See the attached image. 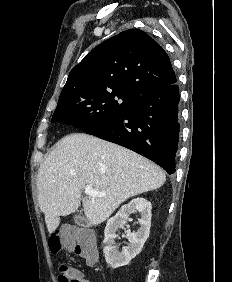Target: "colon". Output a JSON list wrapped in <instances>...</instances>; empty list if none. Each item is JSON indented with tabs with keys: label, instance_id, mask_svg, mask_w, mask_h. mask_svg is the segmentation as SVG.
I'll return each mask as SVG.
<instances>
[{
	"label": "colon",
	"instance_id": "colon-1",
	"mask_svg": "<svg viewBox=\"0 0 232 282\" xmlns=\"http://www.w3.org/2000/svg\"><path fill=\"white\" fill-rule=\"evenodd\" d=\"M48 245L52 253H58L62 249L73 251L81 256L87 264H93L97 259L93 236L86 230L57 231L50 236ZM58 270V282H80V278L68 265L60 264Z\"/></svg>",
	"mask_w": 232,
	"mask_h": 282
}]
</instances>
